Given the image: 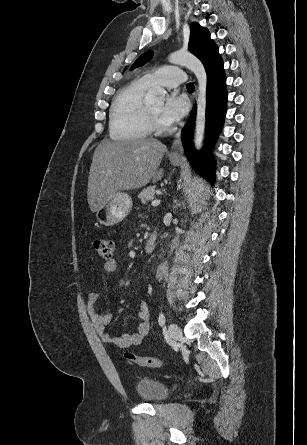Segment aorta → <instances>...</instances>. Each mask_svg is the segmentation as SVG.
Instances as JSON below:
<instances>
[{
	"instance_id": "762f6f07",
	"label": "aorta",
	"mask_w": 307,
	"mask_h": 445,
	"mask_svg": "<svg viewBox=\"0 0 307 445\" xmlns=\"http://www.w3.org/2000/svg\"><path fill=\"white\" fill-rule=\"evenodd\" d=\"M169 62L172 64H180V66H187L190 68L198 80V98H197V114H196V132H195V146L197 150L202 146L205 120H206V86L207 74L206 70L199 58L194 56L189 50H175L168 56ZM167 90L162 86L150 88L148 90L144 102L145 104H164L165 94Z\"/></svg>"
}]
</instances>
